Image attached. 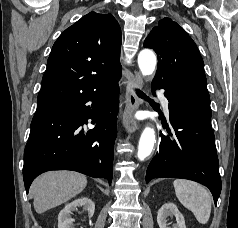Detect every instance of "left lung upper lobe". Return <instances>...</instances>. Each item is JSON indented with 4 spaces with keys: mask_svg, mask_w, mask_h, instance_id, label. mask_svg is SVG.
<instances>
[{
    "mask_svg": "<svg viewBox=\"0 0 238 228\" xmlns=\"http://www.w3.org/2000/svg\"><path fill=\"white\" fill-rule=\"evenodd\" d=\"M155 50L158 69L152 84L173 89L210 109L203 59L191 37L170 18H163L144 42ZM211 110V109H210Z\"/></svg>",
    "mask_w": 238,
    "mask_h": 228,
    "instance_id": "5c2ea615",
    "label": "left lung upper lobe"
}]
</instances>
